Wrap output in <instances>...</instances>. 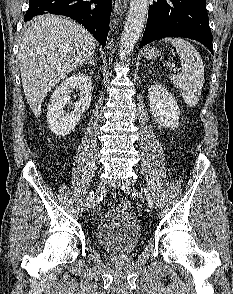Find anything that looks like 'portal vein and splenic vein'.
<instances>
[{"label":"portal vein and splenic vein","mask_w":233,"mask_h":294,"mask_svg":"<svg viewBox=\"0 0 233 294\" xmlns=\"http://www.w3.org/2000/svg\"><path fill=\"white\" fill-rule=\"evenodd\" d=\"M171 69H172L174 72H176V71L179 70V69L175 68L173 65L171 66Z\"/></svg>","instance_id":"18ae733b"}]
</instances>
